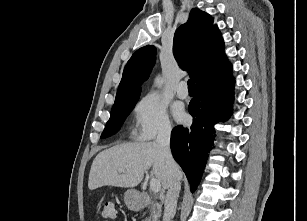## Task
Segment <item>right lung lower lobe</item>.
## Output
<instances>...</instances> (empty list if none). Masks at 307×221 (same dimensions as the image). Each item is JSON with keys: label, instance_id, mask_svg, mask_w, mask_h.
<instances>
[{"label": "right lung lower lobe", "instance_id": "98d812e1", "mask_svg": "<svg viewBox=\"0 0 307 221\" xmlns=\"http://www.w3.org/2000/svg\"><path fill=\"white\" fill-rule=\"evenodd\" d=\"M233 77L208 88L196 90L188 110L193 116L190 128L177 126L171 133L170 147L182 167L193 192L199 184L207 154L212 149L214 125L232 112Z\"/></svg>", "mask_w": 307, "mask_h": 221}]
</instances>
